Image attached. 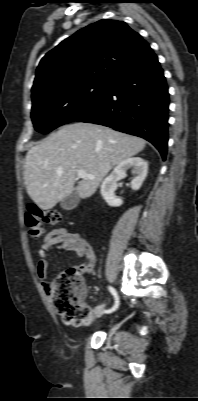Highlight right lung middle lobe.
I'll list each match as a JSON object with an SVG mask.
<instances>
[{
	"mask_svg": "<svg viewBox=\"0 0 198 401\" xmlns=\"http://www.w3.org/2000/svg\"><path fill=\"white\" fill-rule=\"evenodd\" d=\"M107 87L108 82H86L37 97L31 112L35 129L45 134L75 121L101 99Z\"/></svg>",
	"mask_w": 198,
	"mask_h": 401,
	"instance_id": "right-lung-middle-lobe-1",
	"label": "right lung middle lobe"
}]
</instances>
